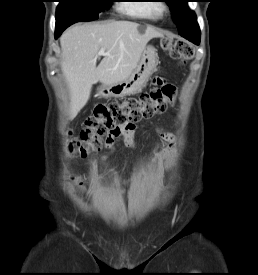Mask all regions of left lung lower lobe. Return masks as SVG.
Returning <instances> with one entry per match:
<instances>
[{"label": "left lung lower lobe", "mask_w": 258, "mask_h": 275, "mask_svg": "<svg viewBox=\"0 0 258 275\" xmlns=\"http://www.w3.org/2000/svg\"><path fill=\"white\" fill-rule=\"evenodd\" d=\"M179 34L196 45L200 44V29L198 24L189 27L183 32H179Z\"/></svg>", "instance_id": "left-lung-lower-lobe-1"}]
</instances>
